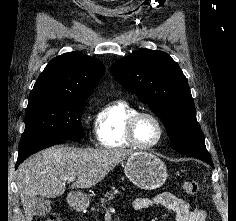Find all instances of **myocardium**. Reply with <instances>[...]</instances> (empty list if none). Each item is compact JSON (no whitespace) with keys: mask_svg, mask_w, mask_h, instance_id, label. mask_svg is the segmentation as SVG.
<instances>
[{"mask_svg":"<svg viewBox=\"0 0 236 221\" xmlns=\"http://www.w3.org/2000/svg\"><path fill=\"white\" fill-rule=\"evenodd\" d=\"M142 117H148V118L152 119L158 127V131H159L158 138L155 142H153L152 144H149V145H142L136 139V135H135L136 124L139 121V119ZM164 135H165V129H164V125H163L162 121L160 120V118L157 115H155L152 112L137 111V112L133 113L127 121L126 139L133 147H135L137 149L149 150V149L157 147L161 143Z\"/></svg>","mask_w":236,"mask_h":221,"instance_id":"myocardium-1","label":"myocardium"}]
</instances>
